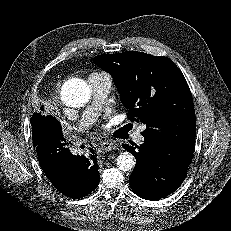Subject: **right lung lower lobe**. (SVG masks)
I'll use <instances>...</instances> for the list:
<instances>
[{
    "mask_svg": "<svg viewBox=\"0 0 231 231\" xmlns=\"http://www.w3.org/2000/svg\"><path fill=\"white\" fill-rule=\"evenodd\" d=\"M32 124V140L40 166L52 185L65 196L81 198L99 184L96 154L73 155L63 137L60 122L43 116Z\"/></svg>",
    "mask_w": 231,
    "mask_h": 231,
    "instance_id": "obj_1",
    "label": "right lung lower lobe"
}]
</instances>
